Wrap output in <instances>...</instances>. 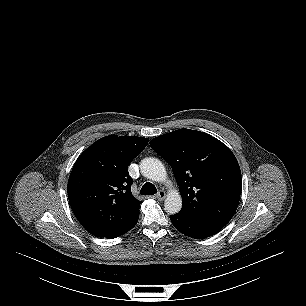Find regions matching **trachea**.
I'll return each instance as SVG.
<instances>
[{
	"label": "trachea",
	"mask_w": 306,
	"mask_h": 306,
	"mask_svg": "<svg viewBox=\"0 0 306 306\" xmlns=\"http://www.w3.org/2000/svg\"><path fill=\"white\" fill-rule=\"evenodd\" d=\"M156 193V187L150 182L145 183L140 190V194L142 195H154Z\"/></svg>",
	"instance_id": "1"
}]
</instances>
